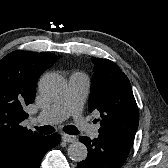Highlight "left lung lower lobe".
Segmentation results:
<instances>
[{
	"instance_id": "1",
	"label": "left lung lower lobe",
	"mask_w": 168,
	"mask_h": 168,
	"mask_svg": "<svg viewBox=\"0 0 168 168\" xmlns=\"http://www.w3.org/2000/svg\"><path fill=\"white\" fill-rule=\"evenodd\" d=\"M88 148L87 159L77 164L78 168H121L126 161L130 147L107 134L99 133L93 140L80 137Z\"/></svg>"
}]
</instances>
